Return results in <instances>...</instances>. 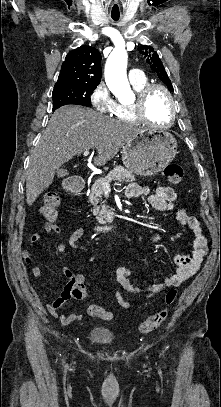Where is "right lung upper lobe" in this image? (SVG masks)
<instances>
[{"label":"right lung upper lobe","instance_id":"obj_1","mask_svg":"<svg viewBox=\"0 0 221 407\" xmlns=\"http://www.w3.org/2000/svg\"><path fill=\"white\" fill-rule=\"evenodd\" d=\"M100 61L101 54L91 46L82 45L69 52L55 87L81 84L97 86L101 80Z\"/></svg>","mask_w":221,"mask_h":407}]
</instances>
